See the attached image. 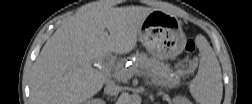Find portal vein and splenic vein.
Listing matches in <instances>:
<instances>
[{"label": "portal vein and splenic vein", "mask_w": 252, "mask_h": 104, "mask_svg": "<svg viewBox=\"0 0 252 104\" xmlns=\"http://www.w3.org/2000/svg\"><path fill=\"white\" fill-rule=\"evenodd\" d=\"M134 74H135L134 71L124 70V69L119 72L120 76H123V77H125L127 79L131 78Z\"/></svg>", "instance_id": "portal-vein-and-splenic-vein-1"}]
</instances>
